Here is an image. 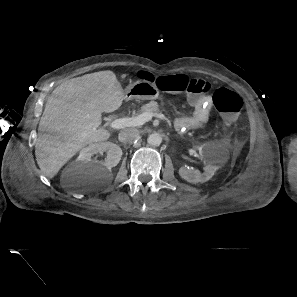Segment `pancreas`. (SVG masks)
Wrapping results in <instances>:
<instances>
[{"label": "pancreas", "mask_w": 297, "mask_h": 297, "mask_svg": "<svg viewBox=\"0 0 297 297\" xmlns=\"http://www.w3.org/2000/svg\"><path fill=\"white\" fill-rule=\"evenodd\" d=\"M141 112L155 114V113L160 112V106L157 102L151 101L141 107Z\"/></svg>", "instance_id": "cf45deb5"}]
</instances>
